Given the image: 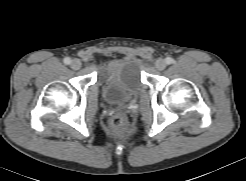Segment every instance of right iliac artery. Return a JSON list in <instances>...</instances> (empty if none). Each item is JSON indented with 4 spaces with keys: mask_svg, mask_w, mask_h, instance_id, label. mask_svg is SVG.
Here are the masks:
<instances>
[{
    "mask_svg": "<svg viewBox=\"0 0 246 181\" xmlns=\"http://www.w3.org/2000/svg\"><path fill=\"white\" fill-rule=\"evenodd\" d=\"M63 62L66 64V65H69L71 63V59L69 57H66L64 58Z\"/></svg>",
    "mask_w": 246,
    "mask_h": 181,
    "instance_id": "82829eb1",
    "label": "right iliac artery"
}]
</instances>
